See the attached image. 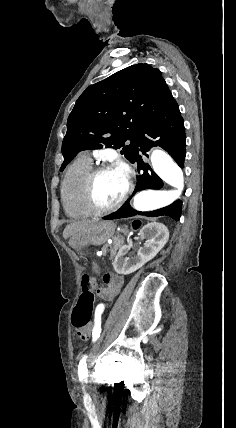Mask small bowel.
<instances>
[{
	"label": "small bowel",
	"mask_w": 236,
	"mask_h": 428,
	"mask_svg": "<svg viewBox=\"0 0 236 428\" xmlns=\"http://www.w3.org/2000/svg\"><path fill=\"white\" fill-rule=\"evenodd\" d=\"M105 286L98 290V295L104 300L96 306V310L103 312L105 310L106 302H111L119 292L123 278L116 274L106 275L104 278ZM91 332V326H87L83 330H79L78 334L83 339H86Z\"/></svg>",
	"instance_id": "small-bowel-1"
}]
</instances>
